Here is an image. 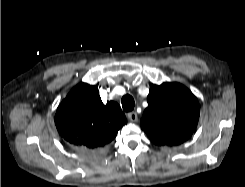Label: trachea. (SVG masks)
<instances>
[{
  "label": "trachea",
  "instance_id": "obj_1",
  "mask_svg": "<svg viewBox=\"0 0 245 187\" xmlns=\"http://www.w3.org/2000/svg\"><path fill=\"white\" fill-rule=\"evenodd\" d=\"M121 103L125 112H130L134 109L135 102L132 96L129 94L123 96Z\"/></svg>",
  "mask_w": 245,
  "mask_h": 187
}]
</instances>
